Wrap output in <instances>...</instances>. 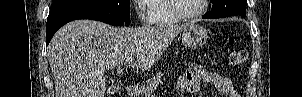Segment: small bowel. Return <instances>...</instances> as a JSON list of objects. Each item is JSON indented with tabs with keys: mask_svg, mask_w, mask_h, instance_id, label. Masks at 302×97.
Returning a JSON list of instances; mask_svg holds the SVG:
<instances>
[{
	"mask_svg": "<svg viewBox=\"0 0 302 97\" xmlns=\"http://www.w3.org/2000/svg\"><path fill=\"white\" fill-rule=\"evenodd\" d=\"M204 83L215 87L218 97H237L231 80L222 73L199 64L189 66L175 84L177 93H197Z\"/></svg>",
	"mask_w": 302,
	"mask_h": 97,
	"instance_id": "1",
	"label": "small bowel"
}]
</instances>
